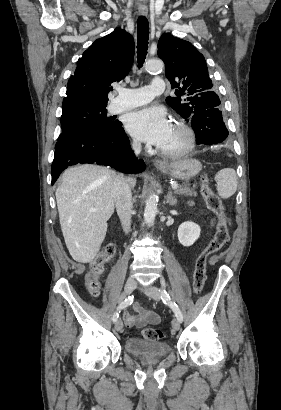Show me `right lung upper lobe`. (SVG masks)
I'll return each instance as SVG.
<instances>
[{
	"label": "right lung upper lobe",
	"mask_w": 281,
	"mask_h": 410,
	"mask_svg": "<svg viewBox=\"0 0 281 410\" xmlns=\"http://www.w3.org/2000/svg\"><path fill=\"white\" fill-rule=\"evenodd\" d=\"M134 59L133 37L116 28L95 42L83 53L69 78L63 106L88 103L107 105L113 82L121 81Z\"/></svg>",
	"instance_id": "right-lung-upper-lobe-1"
}]
</instances>
